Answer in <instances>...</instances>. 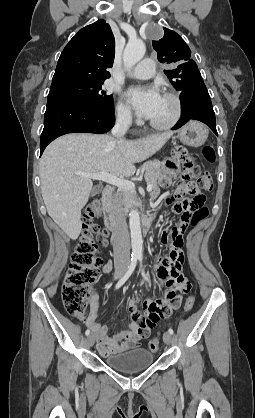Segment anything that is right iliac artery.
Instances as JSON below:
<instances>
[{"label":"right iliac artery","mask_w":255,"mask_h":418,"mask_svg":"<svg viewBox=\"0 0 255 418\" xmlns=\"http://www.w3.org/2000/svg\"><path fill=\"white\" fill-rule=\"evenodd\" d=\"M137 257L136 256H132L131 258V263L130 266L127 270V272L124 274V276L118 281V283L115 286V289H119L127 280L128 278L131 276V274L133 273L136 264H137ZM86 336H88L90 334V330L87 329L85 332Z\"/></svg>","instance_id":"1"}]
</instances>
